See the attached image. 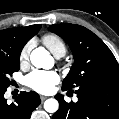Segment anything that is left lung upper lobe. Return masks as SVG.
<instances>
[{
    "label": "left lung upper lobe",
    "mask_w": 119,
    "mask_h": 119,
    "mask_svg": "<svg viewBox=\"0 0 119 119\" xmlns=\"http://www.w3.org/2000/svg\"><path fill=\"white\" fill-rule=\"evenodd\" d=\"M49 30L68 43L75 60L63 80V89L119 86V65L97 35L83 26L69 23L51 25Z\"/></svg>",
    "instance_id": "obj_1"
}]
</instances>
